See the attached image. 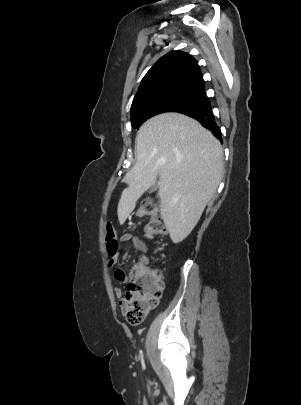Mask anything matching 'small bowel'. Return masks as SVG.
Returning a JSON list of instances; mask_svg holds the SVG:
<instances>
[{"label": "small bowel", "mask_w": 301, "mask_h": 405, "mask_svg": "<svg viewBox=\"0 0 301 405\" xmlns=\"http://www.w3.org/2000/svg\"><path fill=\"white\" fill-rule=\"evenodd\" d=\"M120 241L121 242H131L133 244V246L135 247V249H137L140 252H146L147 251V246L146 244L140 240L137 236L133 235V234H124L120 237ZM122 257L123 259L126 258L127 254L126 253H120L119 250H117L113 255H111L110 259H109V266H114L119 257ZM115 277L118 281H120L121 283H125L128 281V277L125 274V272L121 269L118 268L115 272ZM115 293L118 297H122L123 296V290L121 287H116L115 288Z\"/></svg>", "instance_id": "obj_1"}]
</instances>
